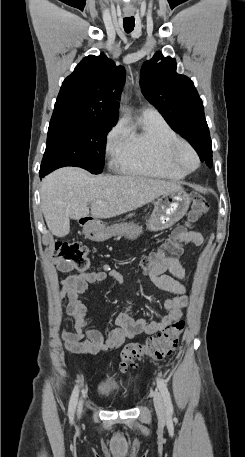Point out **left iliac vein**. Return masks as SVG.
I'll list each match as a JSON object with an SVG mask.
<instances>
[{"label":"left iliac vein","instance_id":"4c4485c4","mask_svg":"<svg viewBox=\"0 0 245 457\" xmlns=\"http://www.w3.org/2000/svg\"><path fill=\"white\" fill-rule=\"evenodd\" d=\"M153 401H154L155 410H156L159 418L164 419L166 416L165 407L163 404L162 397L158 392H155L153 394Z\"/></svg>","mask_w":245,"mask_h":457}]
</instances>
